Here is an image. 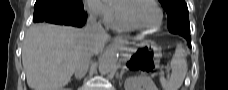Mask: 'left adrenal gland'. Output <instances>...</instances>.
I'll use <instances>...</instances> for the list:
<instances>
[{"instance_id":"left-adrenal-gland-1","label":"left adrenal gland","mask_w":228,"mask_h":90,"mask_svg":"<svg viewBox=\"0 0 228 90\" xmlns=\"http://www.w3.org/2000/svg\"><path fill=\"white\" fill-rule=\"evenodd\" d=\"M124 72H125V70L122 69L121 72H120V79H122V76H123Z\"/></svg>"}]
</instances>
